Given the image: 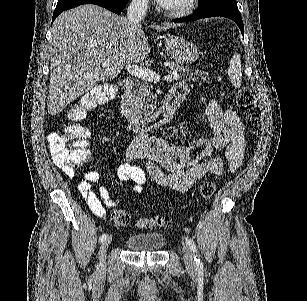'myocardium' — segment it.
Wrapping results in <instances>:
<instances>
[{"mask_svg": "<svg viewBox=\"0 0 307 301\" xmlns=\"http://www.w3.org/2000/svg\"><path fill=\"white\" fill-rule=\"evenodd\" d=\"M184 5L160 4L157 12H164V17H186L193 9L196 0H185Z\"/></svg>", "mask_w": 307, "mask_h": 301, "instance_id": "1", "label": "myocardium"}]
</instances>
